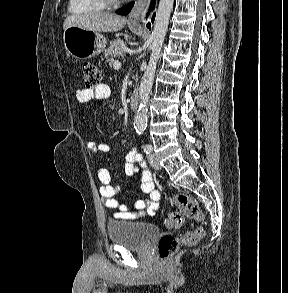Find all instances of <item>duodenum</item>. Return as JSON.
Returning a JSON list of instances; mask_svg holds the SVG:
<instances>
[{
    "instance_id": "obj_1",
    "label": "duodenum",
    "mask_w": 288,
    "mask_h": 293,
    "mask_svg": "<svg viewBox=\"0 0 288 293\" xmlns=\"http://www.w3.org/2000/svg\"><path fill=\"white\" fill-rule=\"evenodd\" d=\"M139 103V93L137 91H133L130 97V107L133 110H136Z\"/></svg>"
}]
</instances>
